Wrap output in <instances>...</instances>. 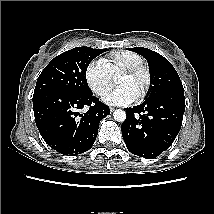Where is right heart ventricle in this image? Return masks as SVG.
<instances>
[{
  "mask_svg": "<svg viewBox=\"0 0 214 214\" xmlns=\"http://www.w3.org/2000/svg\"><path fill=\"white\" fill-rule=\"evenodd\" d=\"M102 61L112 76H118L125 69L143 64L141 55L128 50L114 51L107 58L102 59Z\"/></svg>",
  "mask_w": 214,
  "mask_h": 214,
  "instance_id": "e07e8e85",
  "label": "right heart ventricle"
}]
</instances>
